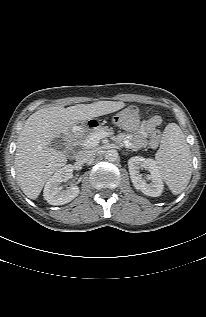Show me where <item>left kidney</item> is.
I'll use <instances>...</instances> for the list:
<instances>
[{"mask_svg": "<svg viewBox=\"0 0 206 317\" xmlns=\"http://www.w3.org/2000/svg\"><path fill=\"white\" fill-rule=\"evenodd\" d=\"M128 168L131 181L137 190L142 191L147 196L158 197L161 195L164 185L158 166L153 159H146L140 156L132 157L128 160ZM140 169L149 171L147 180L143 179Z\"/></svg>", "mask_w": 206, "mask_h": 317, "instance_id": "1", "label": "left kidney"}]
</instances>
